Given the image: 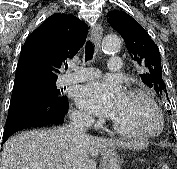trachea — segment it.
Segmentation results:
<instances>
[{
	"label": "trachea",
	"mask_w": 177,
	"mask_h": 169,
	"mask_svg": "<svg viewBox=\"0 0 177 169\" xmlns=\"http://www.w3.org/2000/svg\"><path fill=\"white\" fill-rule=\"evenodd\" d=\"M95 51V46L91 41H87L85 47V62L92 60ZM66 69L68 66L65 67Z\"/></svg>",
	"instance_id": "trachea-1"
}]
</instances>
